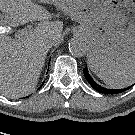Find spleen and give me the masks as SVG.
Returning a JSON list of instances; mask_svg holds the SVG:
<instances>
[{"label":"spleen","mask_w":135,"mask_h":135,"mask_svg":"<svg viewBox=\"0 0 135 135\" xmlns=\"http://www.w3.org/2000/svg\"><path fill=\"white\" fill-rule=\"evenodd\" d=\"M89 66L92 68L93 63L89 62ZM95 74L111 88H125L135 83V65L128 67L126 70L117 71L112 74Z\"/></svg>","instance_id":"spleen-1"}]
</instances>
